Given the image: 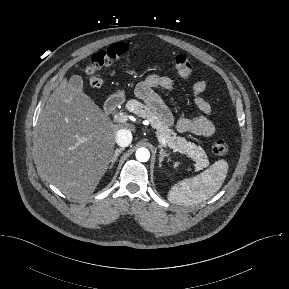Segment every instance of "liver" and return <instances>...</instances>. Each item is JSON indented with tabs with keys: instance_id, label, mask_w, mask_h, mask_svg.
<instances>
[{
	"instance_id": "liver-1",
	"label": "liver",
	"mask_w": 289,
	"mask_h": 289,
	"mask_svg": "<svg viewBox=\"0 0 289 289\" xmlns=\"http://www.w3.org/2000/svg\"><path fill=\"white\" fill-rule=\"evenodd\" d=\"M131 124H114L87 96L63 80L42 110L34 143L38 171L64 195L92 194L111 162L116 133Z\"/></svg>"
}]
</instances>
